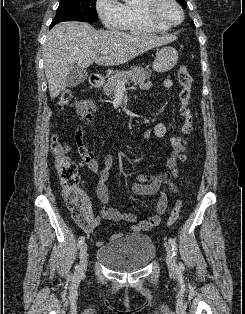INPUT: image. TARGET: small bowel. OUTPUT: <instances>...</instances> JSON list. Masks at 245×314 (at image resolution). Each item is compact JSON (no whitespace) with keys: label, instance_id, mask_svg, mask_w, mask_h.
I'll return each instance as SVG.
<instances>
[{"label":"small bowel","instance_id":"1","mask_svg":"<svg viewBox=\"0 0 245 314\" xmlns=\"http://www.w3.org/2000/svg\"><path fill=\"white\" fill-rule=\"evenodd\" d=\"M153 86L151 82L141 83V88L149 89ZM173 86V82L170 79H166L162 82V87L169 89ZM76 111L82 122L91 123L93 120V114L95 111L94 103L89 99H82L76 107ZM168 134V127L163 122H157L153 127L148 128L144 132V138L150 139L156 137L158 139H165ZM75 139L78 151L82 156L84 164L92 172L100 177V182L96 188V193L99 200L103 203L101 209V216L107 220L115 222H128L132 223V231L135 233H141L149 231L156 227L161 220V215L164 213L167 205L166 196L161 193L160 199L157 204V214L151 215L144 220L137 222V216L134 213H126L119 211L115 208L107 207L106 204L109 201V193L106 185V180L109 177V171L113 166V156L107 155L104 161V168H100L97 160L95 159L94 152L86 147L84 141L83 130L78 127L75 133ZM168 143L171 147V152L167 158L165 165L169 171L150 176V175H138L136 181L131 185V192L137 195H153L156 194L162 184L167 183L172 178L171 170L177 166L178 159L184 152L185 147L183 145V137L181 135H174L168 138ZM85 208L91 222V227L87 230L89 234H96L97 218L91 211V205L89 199L85 196ZM126 234L125 231L119 232L110 236L108 241H113L121 238Z\"/></svg>","mask_w":245,"mask_h":314}]
</instances>
